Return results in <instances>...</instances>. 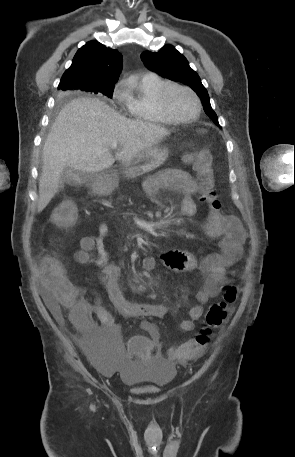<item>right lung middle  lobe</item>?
Segmentation results:
<instances>
[{"label": "right lung middle lobe", "instance_id": "right-lung-middle-lobe-1", "mask_svg": "<svg viewBox=\"0 0 295 457\" xmlns=\"http://www.w3.org/2000/svg\"><path fill=\"white\" fill-rule=\"evenodd\" d=\"M72 87L74 89H81V90H85L87 92H91V93H95V94L100 93L109 98H112L113 90H114V85H107V86L95 88L93 90H89L90 86H88L87 84H84V83L74 84V85H72Z\"/></svg>", "mask_w": 295, "mask_h": 457}]
</instances>
